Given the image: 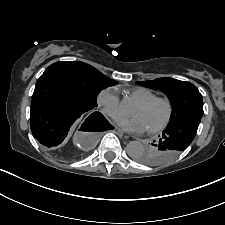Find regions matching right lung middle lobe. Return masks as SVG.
Here are the masks:
<instances>
[{"mask_svg":"<svg viewBox=\"0 0 225 225\" xmlns=\"http://www.w3.org/2000/svg\"><path fill=\"white\" fill-rule=\"evenodd\" d=\"M41 77H54L77 91L92 107L97 106L98 93L117 82L94 67L77 61H59L50 65Z\"/></svg>","mask_w":225,"mask_h":225,"instance_id":"1","label":"right lung middle lobe"}]
</instances>
